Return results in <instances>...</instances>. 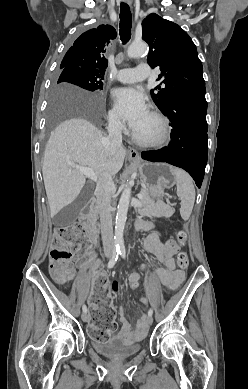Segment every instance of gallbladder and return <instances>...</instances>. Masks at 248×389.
Instances as JSON below:
<instances>
[{"instance_id":"gallbladder-1","label":"gallbladder","mask_w":248,"mask_h":389,"mask_svg":"<svg viewBox=\"0 0 248 389\" xmlns=\"http://www.w3.org/2000/svg\"><path fill=\"white\" fill-rule=\"evenodd\" d=\"M89 197V186L86 185L82 189L79 196L76 198V200L70 204L68 207H66L61 213L56 217L57 223H63L65 220L71 221L77 211L82 207V205L87 201Z\"/></svg>"}]
</instances>
